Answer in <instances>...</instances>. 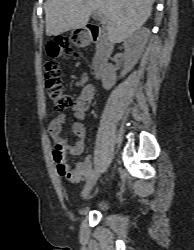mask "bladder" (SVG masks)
Listing matches in <instances>:
<instances>
[{"instance_id":"obj_1","label":"bladder","mask_w":194,"mask_h":250,"mask_svg":"<svg viewBox=\"0 0 194 250\" xmlns=\"http://www.w3.org/2000/svg\"><path fill=\"white\" fill-rule=\"evenodd\" d=\"M96 204H97L98 210H100V211H104V210H106L107 207H108L107 200H105V199H100V200H98V201L96 202Z\"/></svg>"}]
</instances>
